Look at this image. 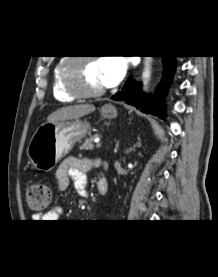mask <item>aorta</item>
I'll use <instances>...</instances> for the list:
<instances>
[{
  "label": "aorta",
  "instance_id": "obj_1",
  "mask_svg": "<svg viewBox=\"0 0 218 277\" xmlns=\"http://www.w3.org/2000/svg\"><path fill=\"white\" fill-rule=\"evenodd\" d=\"M147 61H146V70L144 72L143 77L145 78V80H147L149 78L150 72H149V62L151 61V57H146ZM146 84V81H145Z\"/></svg>",
  "mask_w": 218,
  "mask_h": 277
}]
</instances>
